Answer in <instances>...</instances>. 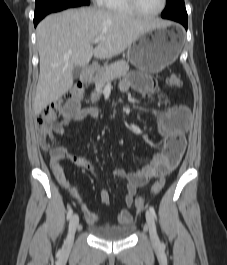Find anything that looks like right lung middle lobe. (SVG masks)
Segmentation results:
<instances>
[{
  "mask_svg": "<svg viewBox=\"0 0 227 265\" xmlns=\"http://www.w3.org/2000/svg\"><path fill=\"white\" fill-rule=\"evenodd\" d=\"M89 4L90 0H36L34 20H41L51 12Z\"/></svg>",
  "mask_w": 227,
  "mask_h": 265,
  "instance_id": "right-lung-middle-lobe-1",
  "label": "right lung middle lobe"
}]
</instances>
